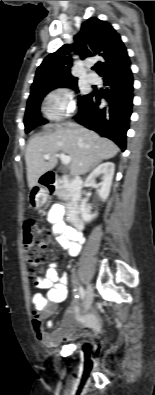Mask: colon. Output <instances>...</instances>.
Instances as JSON below:
<instances>
[{"instance_id": "1", "label": "colon", "mask_w": 155, "mask_h": 395, "mask_svg": "<svg viewBox=\"0 0 155 395\" xmlns=\"http://www.w3.org/2000/svg\"><path fill=\"white\" fill-rule=\"evenodd\" d=\"M51 234L40 228L32 220L23 225V247L26 263L29 266V279H40V267L47 261V245Z\"/></svg>"}]
</instances>
